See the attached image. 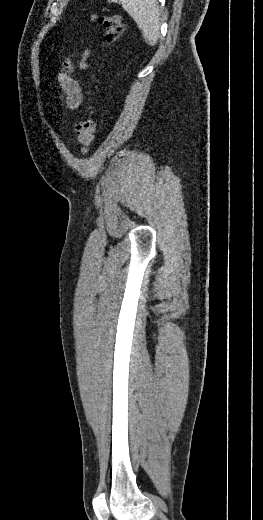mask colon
Listing matches in <instances>:
<instances>
[{
  "instance_id": "5ec220e1",
  "label": "colon",
  "mask_w": 263,
  "mask_h": 520,
  "mask_svg": "<svg viewBox=\"0 0 263 520\" xmlns=\"http://www.w3.org/2000/svg\"><path fill=\"white\" fill-rule=\"evenodd\" d=\"M91 18L105 30L103 45L106 50L114 46L124 34L125 25L119 15L93 14ZM76 132L81 152L87 153L94 140V121L85 116L77 123Z\"/></svg>"
}]
</instances>
